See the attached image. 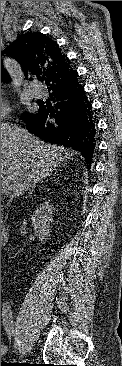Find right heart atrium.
Wrapping results in <instances>:
<instances>
[{
    "label": "right heart atrium",
    "instance_id": "d8ad5b80",
    "mask_svg": "<svg viewBox=\"0 0 122 366\" xmlns=\"http://www.w3.org/2000/svg\"><path fill=\"white\" fill-rule=\"evenodd\" d=\"M10 112H11V106L9 102L3 97H1V120L6 118Z\"/></svg>",
    "mask_w": 122,
    "mask_h": 366
}]
</instances>
